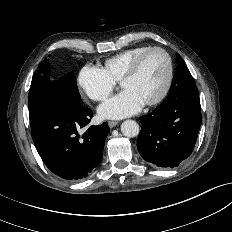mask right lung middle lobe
Here are the masks:
<instances>
[{"label":"right lung middle lobe","mask_w":232,"mask_h":232,"mask_svg":"<svg viewBox=\"0 0 232 232\" xmlns=\"http://www.w3.org/2000/svg\"><path fill=\"white\" fill-rule=\"evenodd\" d=\"M58 86L71 96L73 100L81 103V97L74 74L69 73L58 80L51 78L48 60L42 61L34 72L28 95L31 127L39 122L42 114L47 109V100L52 97L55 93V88Z\"/></svg>","instance_id":"right-lung-middle-lobe-1"}]
</instances>
